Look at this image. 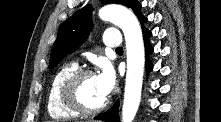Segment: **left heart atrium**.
Returning a JSON list of instances; mask_svg holds the SVG:
<instances>
[{
	"mask_svg": "<svg viewBox=\"0 0 221 122\" xmlns=\"http://www.w3.org/2000/svg\"><path fill=\"white\" fill-rule=\"evenodd\" d=\"M101 93L107 97L115 86V74L109 64H103L100 73L96 76Z\"/></svg>",
	"mask_w": 221,
	"mask_h": 122,
	"instance_id": "left-heart-atrium-1",
	"label": "left heart atrium"
}]
</instances>
